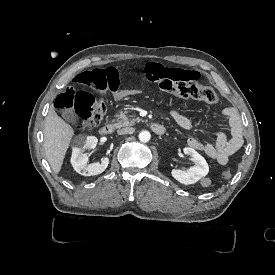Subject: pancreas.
<instances>
[{
  "instance_id": "1",
  "label": "pancreas",
  "mask_w": 275,
  "mask_h": 275,
  "mask_svg": "<svg viewBox=\"0 0 275 275\" xmlns=\"http://www.w3.org/2000/svg\"><path fill=\"white\" fill-rule=\"evenodd\" d=\"M142 119L136 117V115H128V111H121L119 114L116 115V119L113 120L114 126L116 128L126 127V126H133L136 123L141 122Z\"/></svg>"
}]
</instances>
